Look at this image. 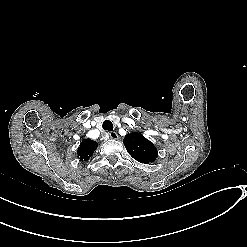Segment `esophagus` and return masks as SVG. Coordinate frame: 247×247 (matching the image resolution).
Segmentation results:
<instances>
[{
  "label": "esophagus",
  "mask_w": 247,
  "mask_h": 247,
  "mask_svg": "<svg viewBox=\"0 0 247 247\" xmlns=\"http://www.w3.org/2000/svg\"><path fill=\"white\" fill-rule=\"evenodd\" d=\"M109 137L110 139H116V140L119 139V136L116 132H110Z\"/></svg>",
  "instance_id": "obj_1"
}]
</instances>
